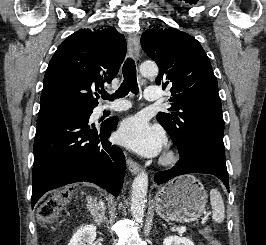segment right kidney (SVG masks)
<instances>
[{
	"label": "right kidney",
	"instance_id": "1",
	"mask_svg": "<svg viewBox=\"0 0 266 245\" xmlns=\"http://www.w3.org/2000/svg\"><path fill=\"white\" fill-rule=\"evenodd\" d=\"M96 229L95 225L79 227L68 245H92L96 239Z\"/></svg>",
	"mask_w": 266,
	"mask_h": 245
}]
</instances>
